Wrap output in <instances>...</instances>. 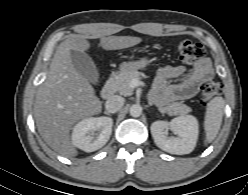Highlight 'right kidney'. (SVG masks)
I'll return each mask as SVG.
<instances>
[{
  "label": "right kidney",
  "mask_w": 248,
  "mask_h": 195,
  "mask_svg": "<svg viewBox=\"0 0 248 195\" xmlns=\"http://www.w3.org/2000/svg\"><path fill=\"white\" fill-rule=\"evenodd\" d=\"M113 120L110 117H90L77 123L72 131L71 140L75 147L93 152L102 148L112 133Z\"/></svg>",
  "instance_id": "right-kidney-1"
}]
</instances>
